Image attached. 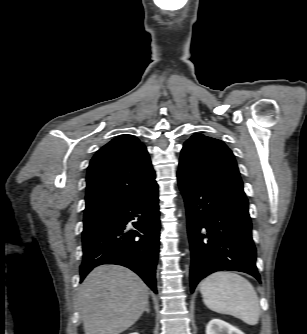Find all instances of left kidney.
I'll return each mask as SVG.
<instances>
[{"label": "left kidney", "instance_id": "5707ae66", "mask_svg": "<svg viewBox=\"0 0 307 334\" xmlns=\"http://www.w3.org/2000/svg\"><path fill=\"white\" fill-rule=\"evenodd\" d=\"M206 334H244L229 323L220 319H212L206 327Z\"/></svg>", "mask_w": 307, "mask_h": 334}]
</instances>
